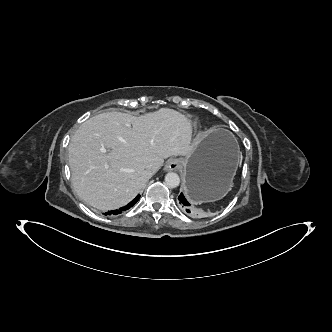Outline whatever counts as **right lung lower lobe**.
Listing matches in <instances>:
<instances>
[{
    "label": "right lung lower lobe",
    "mask_w": 332,
    "mask_h": 332,
    "mask_svg": "<svg viewBox=\"0 0 332 332\" xmlns=\"http://www.w3.org/2000/svg\"><path fill=\"white\" fill-rule=\"evenodd\" d=\"M140 195H137V197L132 200L129 204H127L125 207L120 208L119 210H114V211H110V212H106L104 215H117L119 213H121L122 211H126L128 210L130 207H132L133 205H135L137 203V201L139 200Z\"/></svg>",
    "instance_id": "right-lung-lower-lobe-1"
}]
</instances>
